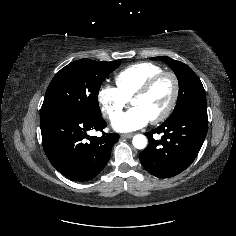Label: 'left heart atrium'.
Instances as JSON below:
<instances>
[{
  "label": "left heart atrium",
  "instance_id": "left-heart-atrium-1",
  "mask_svg": "<svg viewBox=\"0 0 236 236\" xmlns=\"http://www.w3.org/2000/svg\"><path fill=\"white\" fill-rule=\"evenodd\" d=\"M149 117L138 107L116 115L112 119V127L118 132H131L146 126Z\"/></svg>",
  "mask_w": 236,
  "mask_h": 236
}]
</instances>
